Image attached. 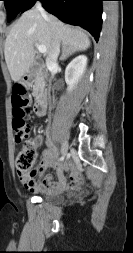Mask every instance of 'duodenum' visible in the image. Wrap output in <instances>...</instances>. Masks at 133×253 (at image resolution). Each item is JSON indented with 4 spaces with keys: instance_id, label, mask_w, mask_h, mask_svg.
<instances>
[{
    "instance_id": "1",
    "label": "duodenum",
    "mask_w": 133,
    "mask_h": 253,
    "mask_svg": "<svg viewBox=\"0 0 133 253\" xmlns=\"http://www.w3.org/2000/svg\"><path fill=\"white\" fill-rule=\"evenodd\" d=\"M45 73H37V75L29 74L25 76L24 81L27 85H30L36 81V79L44 78ZM47 109V98L41 94L38 96L37 101L34 105V112L37 116H44Z\"/></svg>"
}]
</instances>
